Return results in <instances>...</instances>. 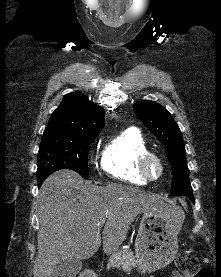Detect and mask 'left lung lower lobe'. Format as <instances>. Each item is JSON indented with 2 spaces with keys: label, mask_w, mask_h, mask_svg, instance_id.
I'll list each match as a JSON object with an SVG mask.
<instances>
[{
  "label": "left lung lower lobe",
  "mask_w": 221,
  "mask_h": 277,
  "mask_svg": "<svg viewBox=\"0 0 221 277\" xmlns=\"http://www.w3.org/2000/svg\"><path fill=\"white\" fill-rule=\"evenodd\" d=\"M187 197L194 203V196L192 194H188Z\"/></svg>",
  "instance_id": "0a47b994"
}]
</instances>
